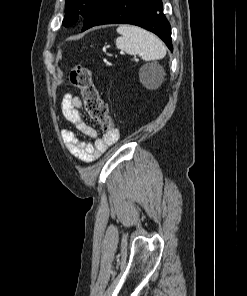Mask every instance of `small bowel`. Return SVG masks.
Instances as JSON below:
<instances>
[{
    "label": "small bowel",
    "mask_w": 247,
    "mask_h": 296,
    "mask_svg": "<svg viewBox=\"0 0 247 296\" xmlns=\"http://www.w3.org/2000/svg\"><path fill=\"white\" fill-rule=\"evenodd\" d=\"M61 110L66 120L80 133L93 138L92 143L82 140L71 130H62V139L69 152L85 163H90L99 158L111 145L119 139V131L111 130L102 137L84 119L83 101L80 97L65 94L61 102Z\"/></svg>",
    "instance_id": "small-bowel-1"
}]
</instances>
